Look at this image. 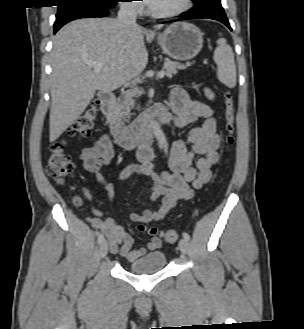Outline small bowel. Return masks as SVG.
<instances>
[{"label": "small bowel", "instance_id": "c3829d8e", "mask_svg": "<svg viewBox=\"0 0 304 329\" xmlns=\"http://www.w3.org/2000/svg\"><path fill=\"white\" fill-rule=\"evenodd\" d=\"M205 94L210 100L215 99L214 93L209 88L205 89ZM169 106L173 112V123L178 127H185L199 118L204 121L201 126L188 130L183 137L173 143L169 158L170 171L156 173L151 162L141 160L120 172L119 181L126 180L135 172L150 174L154 182L149 200L155 201L163 197L159 209L132 213L130 218L134 222L159 221L178 200L191 199L194 189H199L210 181L211 167L219 161L220 136L217 133L211 108L202 102L191 100L182 87L171 90ZM113 157V144L108 133L101 135L92 146L85 147L79 154L83 168L96 175L97 182L107 192L111 201L115 197V191L113 184L105 177L102 165H109ZM83 192L87 199L91 198L86 189H83ZM93 214L94 217L87 220L106 236L110 252L118 254L129 262L162 246V241L154 237L146 247L133 249V238L121 225L112 218L102 219L101 211L96 208H93Z\"/></svg>", "mask_w": 304, "mask_h": 329}]
</instances>
